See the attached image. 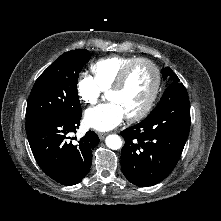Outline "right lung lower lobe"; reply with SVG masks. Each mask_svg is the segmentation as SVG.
<instances>
[{
    "instance_id": "obj_1",
    "label": "right lung lower lobe",
    "mask_w": 221,
    "mask_h": 221,
    "mask_svg": "<svg viewBox=\"0 0 221 221\" xmlns=\"http://www.w3.org/2000/svg\"><path fill=\"white\" fill-rule=\"evenodd\" d=\"M80 119L81 115L55 114L26 121L35 160L50 178L63 185H75L85 177L92 164V150L99 143L93 131H88L78 144L69 140V134L76 132Z\"/></svg>"
}]
</instances>
